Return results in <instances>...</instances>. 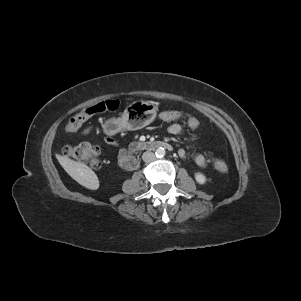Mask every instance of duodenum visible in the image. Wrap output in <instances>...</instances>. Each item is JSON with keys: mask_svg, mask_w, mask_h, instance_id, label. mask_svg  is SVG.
<instances>
[{"mask_svg": "<svg viewBox=\"0 0 301 301\" xmlns=\"http://www.w3.org/2000/svg\"><path fill=\"white\" fill-rule=\"evenodd\" d=\"M167 149L172 150V146L164 141H146L139 144V146L136 149L137 151H145V150H155V149ZM136 152H130L125 154V156L121 159L120 165L125 170L131 171L134 170L137 167V159H136Z\"/></svg>", "mask_w": 301, "mask_h": 301, "instance_id": "duodenum-1", "label": "duodenum"}]
</instances>
